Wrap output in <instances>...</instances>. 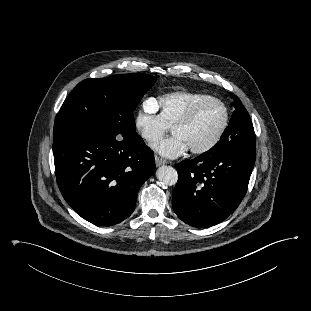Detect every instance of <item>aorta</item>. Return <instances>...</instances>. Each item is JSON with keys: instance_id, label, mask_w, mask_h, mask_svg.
<instances>
[{"instance_id": "1", "label": "aorta", "mask_w": 311, "mask_h": 311, "mask_svg": "<svg viewBox=\"0 0 311 311\" xmlns=\"http://www.w3.org/2000/svg\"><path fill=\"white\" fill-rule=\"evenodd\" d=\"M158 180L167 186L175 185L178 181V173L171 166H161L156 172Z\"/></svg>"}]
</instances>
